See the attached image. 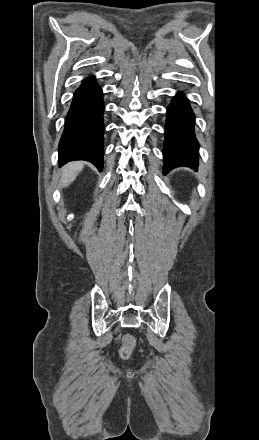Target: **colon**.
<instances>
[{
    "label": "colon",
    "mask_w": 259,
    "mask_h": 440,
    "mask_svg": "<svg viewBox=\"0 0 259 440\" xmlns=\"http://www.w3.org/2000/svg\"><path fill=\"white\" fill-rule=\"evenodd\" d=\"M136 345L135 338L131 335H125L122 339V345L119 350V356L123 360H127L131 357Z\"/></svg>",
    "instance_id": "obj_1"
}]
</instances>
